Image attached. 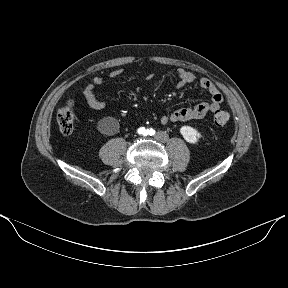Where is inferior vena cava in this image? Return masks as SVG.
Here are the masks:
<instances>
[{
	"mask_svg": "<svg viewBox=\"0 0 288 288\" xmlns=\"http://www.w3.org/2000/svg\"><path fill=\"white\" fill-rule=\"evenodd\" d=\"M157 140L160 143H167L170 140V133L167 130H160L157 133Z\"/></svg>",
	"mask_w": 288,
	"mask_h": 288,
	"instance_id": "1",
	"label": "inferior vena cava"
}]
</instances>
